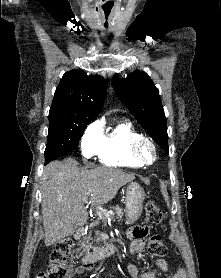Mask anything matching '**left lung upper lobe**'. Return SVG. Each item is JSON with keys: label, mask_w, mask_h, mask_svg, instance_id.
<instances>
[{"label": "left lung upper lobe", "mask_w": 221, "mask_h": 278, "mask_svg": "<svg viewBox=\"0 0 221 278\" xmlns=\"http://www.w3.org/2000/svg\"><path fill=\"white\" fill-rule=\"evenodd\" d=\"M113 89L122 103L134 114L145 131L168 153V135L159 91L150 77L135 71L124 79L114 78Z\"/></svg>", "instance_id": "1"}]
</instances>
